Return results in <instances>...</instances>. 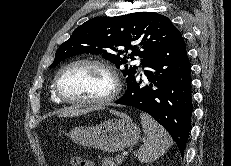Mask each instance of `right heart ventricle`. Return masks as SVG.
Instances as JSON below:
<instances>
[{
    "label": "right heart ventricle",
    "mask_w": 231,
    "mask_h": 166,
    "mask_svg": "<svg viewBox=\"0 0 231 166\" xmlns=\"http://www.w3.org/2000/svg\"><path fill=\"white\" fill-rule=\"evenodd\" d=\"M51 99L56 102V103H60L61 100L57 97V95L54 92L53 86L51 88Z\"/></svg>",
    "instance_id": "1"
}]
</instances>
